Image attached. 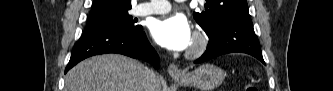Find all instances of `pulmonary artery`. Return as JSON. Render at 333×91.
I'll list each match as a JSON object with an SVG mask.
<instances>
[{"label": "pulmonary artery", "instance_id": "1", "mask_svg": "<svg viewBox=\"0 0 333 91\" xmlns=\"http://www.w3.org/2000/svg\"><path fill=\"white\" fill-rule=\"evenodd\" d=\"M171 5L166 0H151L138 5L135 13L140 16L162 14L170 11Z\"/></svg>", "mask_w": 333, "mask_h": 91}]
</instances>
